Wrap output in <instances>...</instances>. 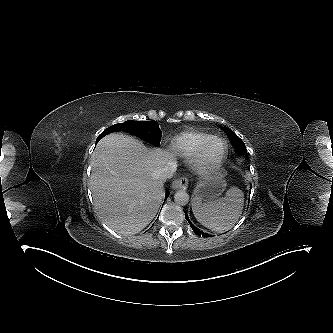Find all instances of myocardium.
Returning a JSON list of instances; mask_svg holds the SVG:
<instances>
[{
  "label": "myocardium",
  "instance_id": "myocardium-1",
  "mask_svg": "<svg viewBox=\"0 0 333 333\" xmlns=\"http://www.w3.org/2000/svg\"><path fill=\"white\" fill-rule=\"evenodd\" d=\"M214 141H220L223 144V150L216 159L210 160L207 158L206 154L209 146ZM227 150L228 145L224 139L217 136H211L192 160V166L195 172L199 175H205L219 168L226 157Z\"/></svg>",
  "mask_w": 333,
  "mask_h": 333
}]
</instances>
